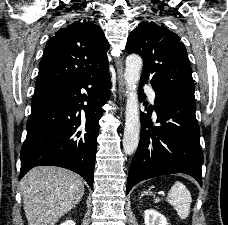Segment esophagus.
<instances>
[{"label": "esophagus", "instance_id": "34e87169", "mask_svg": "<svg viewBox=\"0 0 228 225\" xmlns=\"http://www.w3.org/2000/svg\"><path fill=\"white\" fill-rule=\"evenodd\" d=\"M117 73L119 78V88L122 92L123 98L125 97V87H124V68H123V59L121 57L116 58Z\"/></svg>", "mask_w": 228, "mask_h": 225}]
</instances>
